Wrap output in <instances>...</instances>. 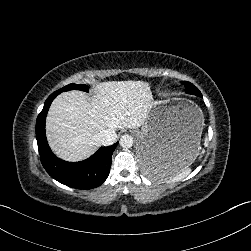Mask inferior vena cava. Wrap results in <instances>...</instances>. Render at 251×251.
Wrapping results in <instances>:
<instances>
[{"label": "inferior vena cava", "instance_id": "obj_1", "mask_svg": "<svg viewBox=\"0 0 251 251\" xmlns=\"http://www.w3.org/2000/svg\"><path fill=\"white\" fill-rule=\"evenodd\" d=\"M96 139L100 141L102 146H109L117 140V134L115 131L107 129L97 134Z\"/></svg>", "mask_w": 251, "mask_h": 251}]
</instances>
